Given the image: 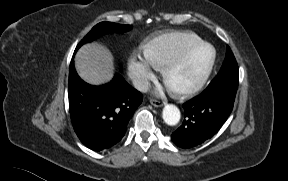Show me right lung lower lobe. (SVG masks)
Segmentation results:
<instances>
[{
  "label": "right lung lower lobe",
  "instance_id": "right-lung-lower-lobe-1",
  "mask_svg": "<svg viewBox=\"0 0 288 181\" xmlns=\"http://www.w3.org/2000/svg\"><path fill=\"white\" fill-rule=\"evenodd\" d=\"M68 96L73 128L81 142L94 151L110 149L122 140L143 99L121 75L102 86L85 83L76 73L73 61Z\"/></svg>",
  "mask_w": 288,
  "mask_h": 181
}]
</instances>
